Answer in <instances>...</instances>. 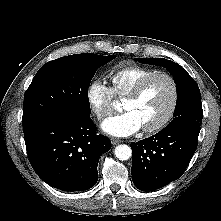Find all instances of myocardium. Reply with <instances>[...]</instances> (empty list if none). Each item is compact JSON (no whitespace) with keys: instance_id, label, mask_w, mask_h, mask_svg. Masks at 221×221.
Instances as JSON below:
<instances>
[{"instance_id":"f54148a6","label":"myocardium","mask_w":221,"mask_h":221,"mask_svg":"<svg viewBox=\"0 0 221 221\" xmlns=\"http://www.w3.org/2000/svg\"><path fill=\"white\" fill-rule=\"evenodd\" d=\"M157 77H162L169 81L172 90V98L166 114L158 122L150 126L142 127V130L146 133H153L163 129L173 118L179 101V88L176 79L171 74L166 72H153L147 75L146 77L142 78L126 96V100L138 99L142 95L148 83Z\"/></svg>"}]
</instances>
